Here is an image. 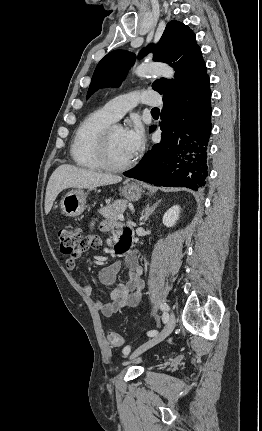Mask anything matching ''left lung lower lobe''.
I'll use <instances>...</instances> for the list:
<instances>
[{
    "mask_svg": "<svg viewBox=\"0 0 262 431\" xmlns=\"http://www.w3.org/2000/svg\"><path fill=\"white\" fill-rule=\"evenodd\" d=\"M211 113L209 77L187 91L164 96L161 142L123 174L155 186L197 191L205 185L207 176Z\"/></svg>",
    "mask_w": 262,
    "mask_h": 431,
    "instance_id": "1",
    "label": "left lung lower lobe"
}]
</instances>
